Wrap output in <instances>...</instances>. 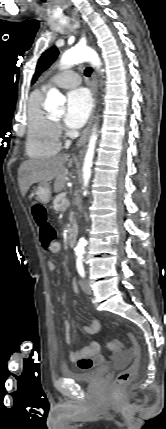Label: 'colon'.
Returning <instances> with one entry per match:
<instances>
[{
	"instance_id": "colon-1",
	"label": "colon",
	"mask_w": 166,
	"mask_h": 429,
	"mask_svg": "<svg viewBox=\"0 0 166 429\" xmlns=\"http://www.w3.org/2000/svg\"><path fill=\"white\" fill-rule=\"evenodd\" d=\"M31 210L35 223L39 228L41 245L43 246V248L49 249V247L54 242H56L57 232L49 222L47 211L43 205L36 203L32 206ZM129 337L134 344L132 354L135 356V360L128 368L120 372L115 378L113 382V387L116 390H121L125 388L133 380L138 370V346L134 337L131 334H129ZM108 346L110 350L114 352H119L122 350V342L118 339L110 341Z\"/></svg>"
}]
</instances>
